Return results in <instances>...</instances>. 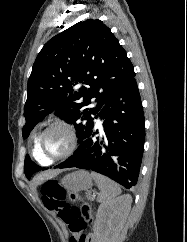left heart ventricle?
<instances>
[{"label":"left heart ventricle","instance_id":"1","mask_svg":"<svg viewBox=\"0 0 187 242\" xmlns=\"http://www.w3.org/2000/svg\"><path fill=\"white\" fill-rule=\"evenodd\" d=\"M68 146V135L60 128H54L45 136L42 147L45 154L56 156L63 153Z\"/></svg>","mask_w":187,"mask_h":242}]
</instances>
